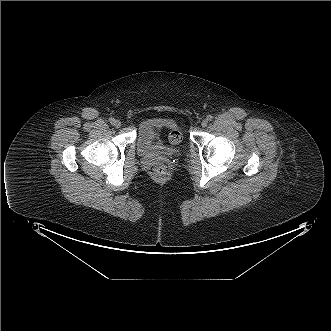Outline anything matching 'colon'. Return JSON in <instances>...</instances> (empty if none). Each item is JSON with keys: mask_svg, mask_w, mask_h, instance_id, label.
<instances>
[{"mask_svg": "<svg viewBox=\"0 0 331 331\" xmlns=\"http://www.w3.org/2000/svg\"><path fill=\"white\" fill-rule=\"evenodd\" d=\"M180 138H181V136H180L179 133H177V132H174V133L171 134V141H172L173 143L179 141ZM155 175H156L157 177H159V178L163 177V176L165 175V170H164V168H162V167H160V166H157V167L155 168Z\"/></svg>", "mask_w": 331, "mask_h": 331, "instance_id": "1", "label": "colon"}]
</instances>
